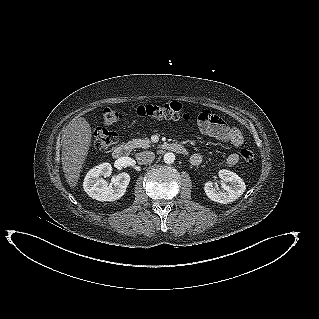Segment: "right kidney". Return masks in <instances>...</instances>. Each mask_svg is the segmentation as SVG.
<instances>
[{
  "label": "right kidney",
  "instance_id": "right-kidney-1",
  "mask_svg": "<svg viewBox=\"0 0 319 319\" xmlns=\"http://www.w3.org/2000/svg\"><path fill=\"white\" fill-rule=\"evenodd\" d=\"M112 170L110 163H102L88 171L84 178L83 188L92 199L115 201L125 194L130 182V175L126 172L119 173L108 184L104 178L109 177Z\"/></svg>",
  "mask_w": 319,
  "mask_h": 319
}]
</instances>
